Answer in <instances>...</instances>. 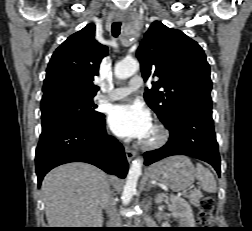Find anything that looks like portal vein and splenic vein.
Listing matches in <instances>:
<instances>
[{"mask_svg": "<svg viewBox=\"0 0 252 231\" xmlns=\"http://www.w3.org/2000/svg\"><path fill=\"white\" fill-rule=\"evenodd\" d=\"M185 194H186V192L183 191V192H180L178 195L181 196V195H185Z\"/></svg>", "mask_w": 252, "mask_h": 231, "instance_id": "1", "label": "portal vein and splenic vein"}]
</instances>
